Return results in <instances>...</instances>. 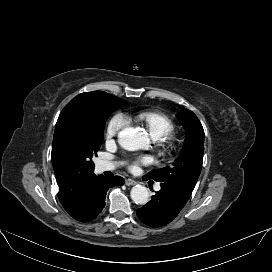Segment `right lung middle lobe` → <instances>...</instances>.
Instances as JSON below:
<instances>
[{"label":"right lung middle lobe","instance_id":"dd1d6c3e","mask_svg":"<svg viewBox=\"0 0 272 272\" xmlns=\"http://www.w3.org/2000/svg\"><path fill=\"white\" fill-rule=\"evenodd\" d=\"M128 102L102 91L84 93L63 109L55 129L60 148L78 171L94 170L92 157L103 142L104 126L112 112Z\"/></svg>","mask_w":272,"mask_h":272}]
</instances>
